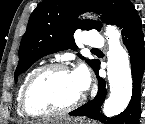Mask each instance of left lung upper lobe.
Listing matches in <instances>:
<instances>
[{
  "label": "left lung upper lobe",
  "mask_w": 145,
  "mask_h": 124,
  "mask_svg": "<svg viewBox=\"0 0 145 124\" xmlns=\"http://www.w3.org/2000/svg\"><path fill=\"white\" fill-rule=\"evenodd\" d=\"M133 6L129 0H44L32 12L19 48V63L14 73L17 77L35 61L65 49L76 50L74 33L77 29L100 30L101 23L78 20L85 11L101 14L106 23L118 25L126 11ZM79 57L84 59L80 54ZM86 62L95 71L98 60Z\"/></svg>",
  "instance_id": "1"
}]
</instances>
